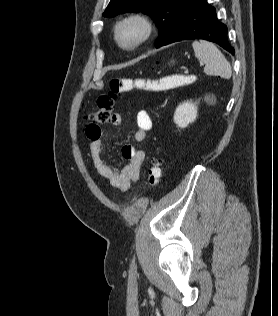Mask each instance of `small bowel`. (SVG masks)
Wrapping results in <instances>:
<instances>
[{
    "label": "small bowel",
    "mask_w": 278,
    "mask_h": 316,
    "mask_svg": "<svg viewBox=\"0 0 278 316\" xmlns=\"http://www.w3.org/2000/svg\"><path fill=\"white\" fill-rule=\"evenodd\" d=\"M110 123L119 126L122 117L119 113H114L110 117ZM137 130L135 139L138 142L143 141L152 129V120L150 114L142 109L136 116ZM86 136L91 141L90 153L93 164L98 174L106 179L110 185L121 191H126L131 184L137 182L140 178L141 169L145 161V152L133 145H126L122 148V156L129 160V163L122 169L118 170L107 164L102 158L104 143L101 138L100 128H86Z\"/></svg>",
    "instance_id": "small-bowel-1"
}]
</instances>
